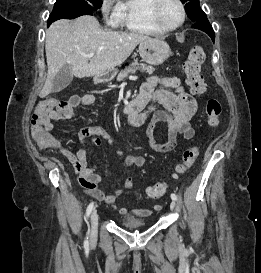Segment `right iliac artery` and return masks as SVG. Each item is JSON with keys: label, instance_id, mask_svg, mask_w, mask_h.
<instances>
[{"label": "right iliac artery", "instance_id": "right-iliac-artery-1", "mask_svg": "<svg viewBox=\"0 0 261 273\" xmlns=\"http://www.w3.org/2000/svg\"><path fill=\"white\" fill-rule=\"evenodd\" d=\"M93 207H94V202H91L88 207H87V210H86V218H88L93 210ZM89 245V241H88V237L85 239L84 241V246L85 247H88Z\"/></svg>", "mask_w": 261, "mask_h": 273}]
</instances>
